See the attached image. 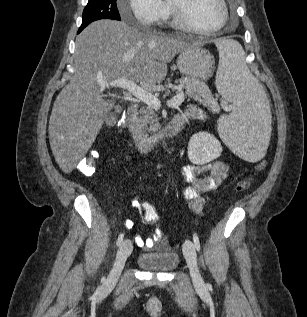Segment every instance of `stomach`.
I'll return each instance as SVG.
<instances>
[{"label":"stomach","instance_id":"obj_1","mask_svg":"<svg viewBox=\"0 0 307 317\" xmlns=\"http://www.w3.org/2000/svg\"><path fill=\"white\" fill-rule=\"evenodd\" d=\"M214 59L210 52L199 45H190L184 48L178 58L179 71L193 79L206 80L211 76Z\"/></svg>","mask_w":307,"mask_h":317}]
</instances>
